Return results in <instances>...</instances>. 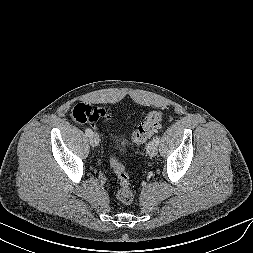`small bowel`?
I'll return each mask as SVG.
<instances>
[{
  "label": "small bowel",
  "instance_id": "small-bowel-1",
  "mask_svg": "<svg viewBox=\"0 0 253 253\" xmlns=\"http://www.w3.org/2000/svg\"><path fill=\"white\" fill-rule=\"evenodd\" d=\"M96 117L92 121L93 123L96 122L98 119H104L105 121H109L111 119V113L106 108H94Z\"/></svg>",
  "mask_w": 253,
  "mask_h": 253
}]
</instances>
